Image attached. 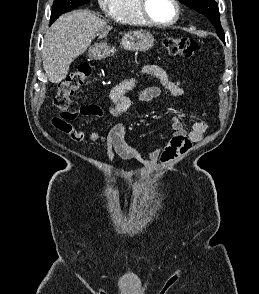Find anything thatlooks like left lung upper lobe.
<instances>
[{
	"label": "left lung upper lobe",
	"mask_w": 259,
	"mask_h": 294,
	"mask_svg": "<svg viewBox=\"0 0 259 294\" xmlns=\"http://www.w3.org/2000/svg\"><path fill=\"white\" fill-rule=\"evenodd\" d=\"M184 5L205 15L215 26L220 39L225 42L224 32L220 23L218 5L214 0H179Z\"/></svg>",
	"instance_id": "left-lung-upper-lobe-1"
}]
</instances>
